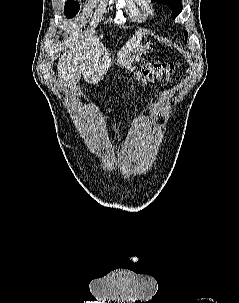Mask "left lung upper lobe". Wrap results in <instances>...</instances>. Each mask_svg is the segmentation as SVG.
<instances>
[{
	"mask_svg": "<svg viewBox=\"0 0 239 303\" xmlns=\"http://www.w3.org/2000/svg\"><path fill=\"white\" fill-rule=\"evenodd\" d=\"M151 1H157L158 3L167 4L172 10L174 18L178 16V14L182 11L183 8L181 4V0H151ZM184 35L185 37H187L188 33L185 31Z\"/></svg>",
	"mask_w": 239,
	"mask_h": 303,
	"instance_id": "1",
	"label": "left lung upper lobe"
}]
</instances>
